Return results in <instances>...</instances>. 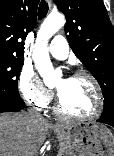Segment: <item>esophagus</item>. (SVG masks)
Segmentation results:
<instances>
[{"instance_id": "esophagus-1", "label": "esophagus", "mask_w": 114, "mask_h": 156, "mask_svg": "<svg viewBox=\"0 0 114 156\" xmlns=\"http://www.w3.org/2000/svg\"><path fill=\"white\" fill-rule=\"evenodd\" d=\"M48 1V3H51V0H47Z\"/></svg>"}]
</instances>
